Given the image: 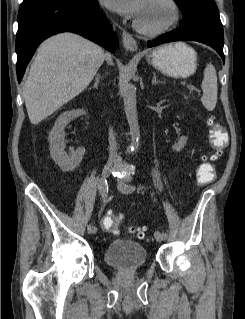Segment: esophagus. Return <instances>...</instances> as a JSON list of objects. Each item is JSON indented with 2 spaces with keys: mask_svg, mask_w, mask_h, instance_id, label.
Returning <instances> with one entry per match:
<instances>
[{
  "mask_svg": "<svg viewBox=\"0 0 245 319\" xmlns=\"http://www.w3.org/2000/svg\"><path fill=\"white\" fill-rule=\"evenodd\" d=\"M122 42L123 46L126 50L130 52H136L138 49V45L136 40L126 31L122 32Z\"/></svg>",
  "mask_w": 245,
  "mask_h": 319,
  "instance_id": "34e87169",
  "label": "esophagus"
}]
</instances>
